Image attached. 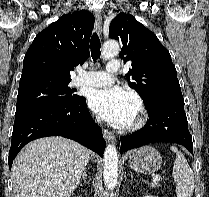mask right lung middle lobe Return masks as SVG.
Listing matches in <instances>:
<instances>
[{
  "mask_svg": "<svg viewBox=\"0 0 209 197\" xmlns=\"http://www.w3.org/2000/svg\"><path fill=\"white\" fill-rule=\"evenodd\" d=\"M67 81H40L20 85L18 89L16 109L45 102H67L77 100L81 96L74 94Z\"/></svg>",
  "mask_w": 209,
  "mask_h": 197,
  "instance_id": "right-lung-middle-lobe-1",
  "label": "right lung middle lobe"
}]
</instances>
